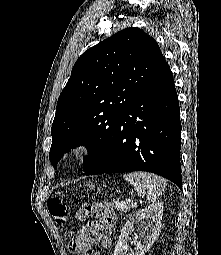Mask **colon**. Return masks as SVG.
Masks as SVG:
<instances>
[{
  "label": "colon",
  "instance_id": "obj_1",
  "mask_svg": "<svg viewBox=\"0 0 221 255\" xmlns=\"http://www.w3.org/2000/svg\"><path fill=\"white\" fill-rule=\"evenodd\" d=\"M48 211L53 217L54 221L58 225H64L68 219V209L66 204L60 199H51L49 200L48 204ZM91 205H84L81 207L79 212L77 213L76 218L78 220H83L88 216H91Z\"/></svg>",
  "mask_w": 221,
  "mask_h": 255
}]
</instances>
